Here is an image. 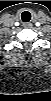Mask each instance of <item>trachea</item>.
Masks as SVG:
<instances>
[{
	"instance_id": "3493384b",
	"label": "trachea",
	"mask_w": 51,
	"mask_h": 101,
	"mask_svg": "<svg viewBox=\"0 0 51 101\" xmlns=\"http://www.w3.org/2000/svg\"><path fill=\"white\" fill-rule=\"evenodd\" d=\"M21 19H22L23 22H29L30 19H31V14H30V12L24 11V12L21 14Z\"/></svg>"
}]
</instances>
